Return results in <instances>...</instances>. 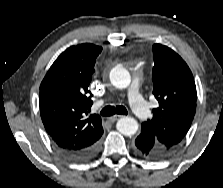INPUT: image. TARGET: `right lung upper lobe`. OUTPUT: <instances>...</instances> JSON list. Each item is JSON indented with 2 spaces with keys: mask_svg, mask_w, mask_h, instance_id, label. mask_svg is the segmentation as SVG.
<instances>
[{
  "mask_svg": "<svg viewBox=\"0 0 223 188\" xmlns=\"http://www.w3.org/2000/svg\"><path fill=\"white\" fill-rule=\"evenodd\" d=\"M102 48L71 46L56 59L40 85V115L47 133L62 148L78 150L99 140L101 117L90 115L88 86Z\"/></svg>",
  "mask_w": 223,
  "mask_h": 188,
  "instance_id": "1",
  "label": "right lung upper lobe"
}]
</instances>
